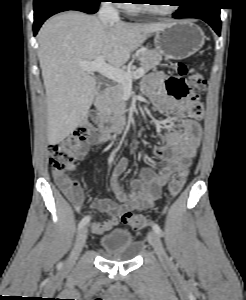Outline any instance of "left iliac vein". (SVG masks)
<instances>
[{"instance_id":"obj_1","label":"left iliac vein","mask_w":246,"mask_h":300,"mask_svg":"<svg viewBox=\"0 0 246 300\" xmlns=\"http://www.w3.org/2000/svg\"><path fill=\"white\" fill-rule=\"evenodd\" d=\"M147 238H148V242L154 248L160 262L164 266L171 267L172 263L163 248L159 235L155 231L151 230L148 232Z\"/></svg>"}]
</instances>
